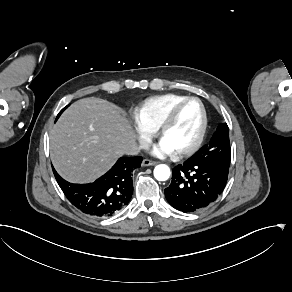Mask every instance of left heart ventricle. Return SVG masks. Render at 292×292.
Returning <instances> with one entry per match:
<instances>
[{"mask_svg": "<svg viewBox=\"0 0 292 292\" xmlns=\"http://www.w3.org/2000/svg\"><path fill=\"white\" fill-rule=\"evenodd\" d=\"M200 121V108L196 102L186 103L167 128L164 141L174 149L187 146L193 140Z\"/></svg>", "mask_w": 292, "mask_h": 292, "instance_id": "b2bd125f", "label": "left heart ventricle"}]
</instances>
